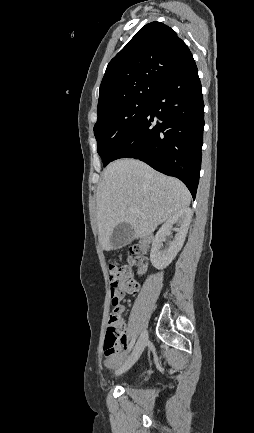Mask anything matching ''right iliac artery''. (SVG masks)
Here are the masks:
<instances>
[{"instance_id": "1", "label": "right iliac artery", "mask_w": 254, "mask_h": 433, "mask_svg": "<svg viewBox=\"0 0 254 433\" xmlns=\"http://www.w3.org/2000/svg\"><path fill=\"white\" fill-rule=\"evenodd\" d=\"M134 342H135V340H133V341L131 342V344H130V346H129V348H128V352H130V351H131V349H132V346H133Z\"/></svg>"}]
</instances>
